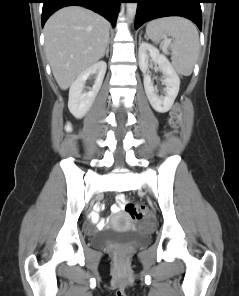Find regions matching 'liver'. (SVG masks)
I'll list each match as a JSON object with an SVG mask.
<instances>
[{
	"instance_id": "6515ba94",
	"label": "liver",
	"mask_w": 239,
	"mask_h": 296,
	"mask_svg": "<svg viewBox=\"0 0 239 296\" xmlns=\"http://www.w3.org/2000/svg\"><path fill=\"white\" fill-rule=\"evenodd\" d=\"M109 30L105 18L79 6L60 9L48 19L44 27L45 51L62 90L102 58Z\"/></svg>"
}]
</instances>
